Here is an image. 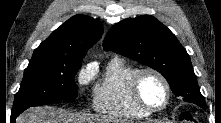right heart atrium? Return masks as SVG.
<instances>
[{"label": "right heart atrium", "instance_id": "obj_1", "mask_svg": "<svg viewBox=\"0 0 221 123\" xmlns=\"http://www.w3.org/2000/svg\"><path fill=\"white\" fill-rule=\"evenodd\" d=\"M92 77V71L90 69H81L78 73L77 79L81 84L87 83Z\"/></svg>", "mask_w": 221, "mask_h": 123}]
</instances>
